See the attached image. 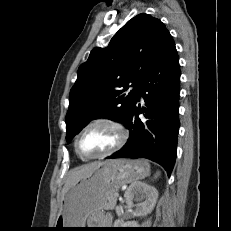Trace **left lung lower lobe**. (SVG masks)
<instances>
[{
	"mask_svg": "<svg viewBox=\"0 0 231 231\" xmlns=\"http://www.w3.org/2000/svg\"><path fill=\"white\" fill-rule=\"evenodd\" d=\"M180 66L170 33L141 79L140 95L146 108L132 109L125 125L130 130L127 143L108 158H147L159 163L168 176L175 164L179 131ZM143 113L147 121H141Z\"/></svg>",
	"mask_w": 231,
	"mask_h": 231,
	"instance_id": "1",
	"label": "left lung lower lobe"
}]
</instances>
